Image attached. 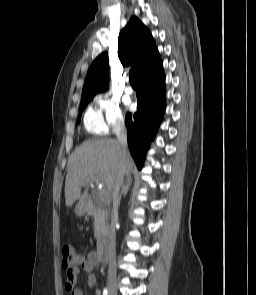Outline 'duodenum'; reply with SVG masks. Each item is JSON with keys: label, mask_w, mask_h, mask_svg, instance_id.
<instances>
[{"label": "duodenum", "mask_w": 256, "mask_h": 295, "mask_svg": "<svg viewBox=\"0 0 256 295\" xmlns=\"http://www.w3.org/2000/svg\"><path fill=\"white\" fill-rule=\"evenodd\" d=\"M81 207L86 213H89L91 211V204L88 200H83L81 202ZM96 253L100 263H107L109 261L110 249L104 241H102L98 245V249Z\"/></svg>", "instance_id": "obj_1"}]
</instances>
